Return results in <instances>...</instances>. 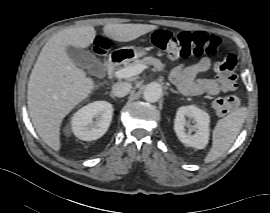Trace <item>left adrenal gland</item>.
I'll list each match as a JSON object with an SVG mask.
<instances>
[{
    "label": "left adrenal gland",
    "mask_w": 270,
    "mask_h": 213,
    "mask_svg": "<svg viewBox=\"0 0 270 213\" xmlns=\"http://www.w3.org/2000/svg\"><path fill=\"white\" fill-rule=\"evenodd\" d=\"M170 91L173 92V93H178V91H176V90H174L172 88H170Z\"/></svg>",
    "instance_id": "1"
}]
</instances>
